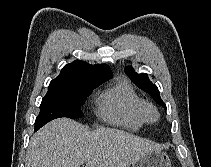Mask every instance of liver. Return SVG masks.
Instances as JSON below:
<instances>
[{"instance_id":"1","label":"liver","mask_w":211,"mask_h":167,"mask_svg":"<svg viewBox=\"0 0 211 167\" xmlns=\"http://www.w3.org/2000/svg\"><path fill=\"white\" fill-rule=\"evenodd\" d=\"M158 149L118 129L88 130L67 118L49 122L30 140L25 167H130Z\"/></svg>"}]
</instances>
